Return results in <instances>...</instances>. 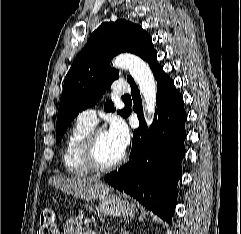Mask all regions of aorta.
I'll return each mask as SVG.
<instances>
[{
    "instance_id": "1",
    "label": "aorta",
    "mask_w": 241,
    "mask_h": 234,
    "mask_svg": "<svg viewBox=\"0 0 241 234\" xmlns=\"http://www.w3.org/2000/svg\"><path fill=\"white\" fill-rule=\"evenodd\" d=\"M120 69H127L137 83L143 98V110L147 125L153 121L156 108V82L154 75L141 58L131 54L118 55L113 62Z\"/></svg>"
}]
</instances>
